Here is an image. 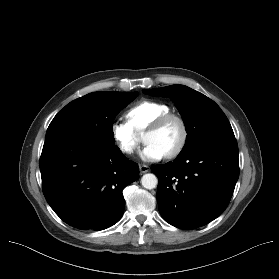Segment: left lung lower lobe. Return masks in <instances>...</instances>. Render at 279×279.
<instances>
[{
  "label": "left lung lower lobe",
  "mask_w": 279,
  "mask_h": 279,
  "mask_svg": "<svg viewBox=\"0 0 279 279\" xmlns=\"http://www.w3.org/2000/svg\"><path fill=\"white\" fill-rule=\"evenodd\" d=\"M159 212L184 230L201 227L228 206L239 177L235 138H216L180 153L174 162L155 165Z\"/></svg>",
  "instance_id": "1"
}]
</instances>
